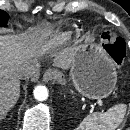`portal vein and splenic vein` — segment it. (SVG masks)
I'll use <instances>...</instances> for the list:
<instances>
[{"mask_svg": "<svg viewBox=\"0 0 130 130\" xmlns=\"http://www.w3.org/2000/svg\"><path fill=\"white\" fill-rule=\"evenodd\" d=\"M97 103H98L99 106L103 105L101 101H98Z\"/></svg>", "mask_w": 130, "mask_h": 130, "instance_id": "obj_1", "label": "portal vein and splenic vein"}]
</instances>
